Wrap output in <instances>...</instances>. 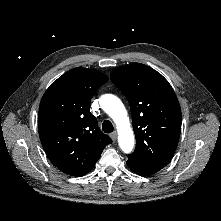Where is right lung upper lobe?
Listing matches in <instances>:
<instances>
[{"label":"right lung upper lobe","mask_w":221,"mask_h":221,"mask_svg":"<svg viewBox=\"0 0 221 221\" xmlns=\"http://www.w3.org/2000/svg\"><path fill=\"white\" fill-rule=\"evenodd\" d=\"M108 77L93 69L77 67L54 81L43 95L38 131L50 161L72 176L87 174L111 138L103 134L90 101Z\"/></svg>","instance_id":"1"}]
</instances>
